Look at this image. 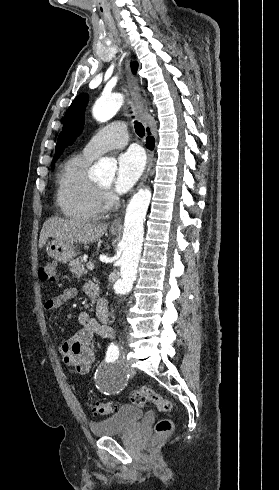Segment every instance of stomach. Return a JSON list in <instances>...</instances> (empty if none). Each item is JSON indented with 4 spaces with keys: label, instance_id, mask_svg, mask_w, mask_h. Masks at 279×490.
<instances>
[{
    "label": "stomach",
    "instance_id": "stomach-1",
    "mask_svg": "<svg viewBox=\"0 0 279 490\" xmlns=\"http://www.w3.org/2000/svg\"><path fill=\"white\" fill-rule=\"evenodd\" d=\"M114 236H117V232H112ZM47 254L53 260L61 262V264H67L72 262L76 256V248L72 242H58V240H52L46 246Z\"/></svg>",
    "mask_w": 279,
    "mask_h": 490
}]
</instances>
